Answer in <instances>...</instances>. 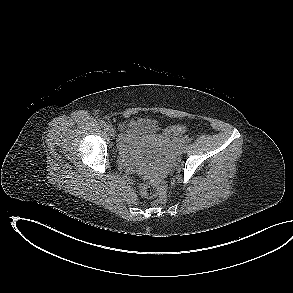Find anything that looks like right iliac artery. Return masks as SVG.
I'll return each instance as SVG.
<instances>
[{
	"instance_id": "obj_1",
	"label": "right iliac artery",
	"mask_w": 293,
	"mask_h": 293,
	"mask_svg": "<svg viewBox=\"0 0 293 293\" xmlns=\"http://www.w3.org/2000/svg\"><path fill=\"white\" fill-rule=\"evenodd\" d=\"M100 126L105 128V127L107 126V125H106V122L103 121V120H101V121H100Z\"/></svg>"
}]
</instances>
